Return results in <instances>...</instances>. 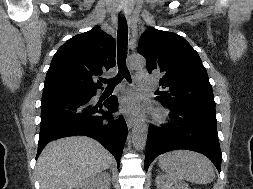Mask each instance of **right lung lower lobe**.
<instances>
[{"instance_id":"right-lung-lower-lobe-1","label":"right lung lower lobe","mask_w":253,"mask_h":189,"mask_svg":"<svg viewBox=\"0 0 253 189\" xmlns=\"http://www.w3.org/2000/svg\"><path fill=\"white\" fill-rule=\"evenodd\" d=\"M96 91L85 97L52 96L41 100V123L38 143L39 154L50 141L70 135H85L98 140L116 158L118 167L122 156L127 125L122 116L114 120L111 113L117 111V97L111 96L101 105L90 100Z\"/></svg>"}]
</instances>
